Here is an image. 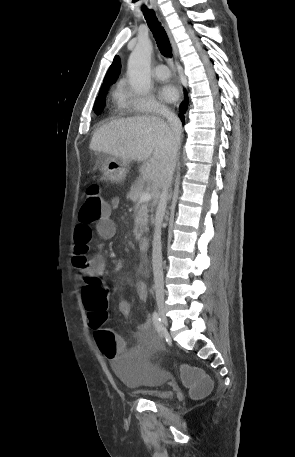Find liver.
<instances>
[{
	"mask_svg": "<svg viewBox=\"0 0 295 457\" xmlns=\"http://www.w3.org/2000/svg\"><path fill=\"white\" fill-rule=\"evenodd\" d=\"M90 150L126 161L142 162V179L161 188L167 166L176 162L178 141L161 118L137 116L111 121L93 135Z\"/></svg>",
	"mask_w": 295,
	"mask_h": 457,
	"instance_id": "1",
	"label": "liver"
}]
</instances>
